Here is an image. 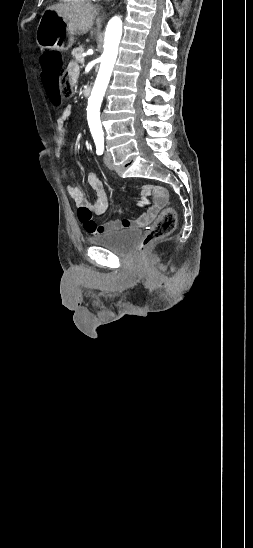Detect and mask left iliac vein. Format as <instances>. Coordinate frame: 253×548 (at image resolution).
<instances>
[{
  "mask_svg": "<svg viewBox=\"0 0 253 548\" xmlns=\"http://www.w3.org/2000/svg\"><path fill=\"white\" fill-rule=\"evenodd\" d=\"M104 163L108 168L113 167V160H112V154L109 150H106L104 155Z\"/></svg>",
  "mask_w": 253,
  "mask_h": 548,
  "instance_id": "4c4485c4",
  "label": "left iliac vein"
}]
</instances>
